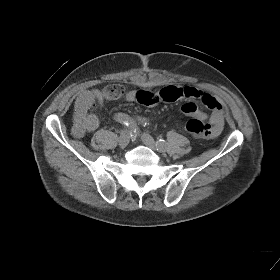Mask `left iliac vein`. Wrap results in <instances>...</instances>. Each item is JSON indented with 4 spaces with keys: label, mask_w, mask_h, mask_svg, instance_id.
Listing matches in <instances>:
<instances>
[{
    "label": "left iliac vein",
    "mask_w": 280,
    "mask_h": 280,
    "mask_svg": "<svg viewBox=\"0 0 280 280\" xmlns=\"http://www.w3.org/2000/svg\"><path fill=\"white\" fill-rule=\"evenodd\" d=\"M141 140L146 146H148L149 148H151L154 151L163 152L165 150V149L158 148L154 139L148 133H142Z\"/></svg>",
    "instance_id": "1"
}]
</instances>
